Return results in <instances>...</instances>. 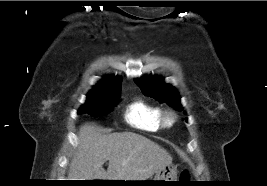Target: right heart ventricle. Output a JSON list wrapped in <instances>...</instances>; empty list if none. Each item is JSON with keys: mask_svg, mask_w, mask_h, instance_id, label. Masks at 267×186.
<instances>
[{"mask_svg": "<svg viewBox=\"0 0 267 186\" xmlns=\"http://www.w3.org/2000/svg\"><path fill=\"white\" fill-rule=\"evenodd\" d=\"M161 112L160 107L138 99L127 107L125 120L136 129L157 132L162 128L160 123Z\"/></svg>", "mask_w": 267, "mask_h": 186, "instance_id": "1", "label": "right heart ventricle"}]
</instances>
